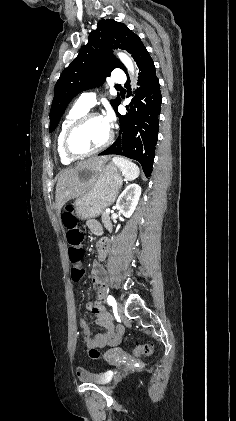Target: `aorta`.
<instances>
[{
    "label": "aorta",
    "mask_w": 236,
    "mask_h": 421,
    "mask_svg": "<svg viewBox=\"0 0 236 421\" xmlns=\"http://www.w3.org/2000/svg\"><path fill=\"white\" fill-rule=\"evenodd\" d=\"M118 56H119V58H121L122 62H124L126 68H128V70L131 74V78L133 80V84H134L135 66H134V62H133L132 58H130V56H128V54H125V52H118Z\"/></svg>",
    "instance_id": "1"
}]
</instances>
